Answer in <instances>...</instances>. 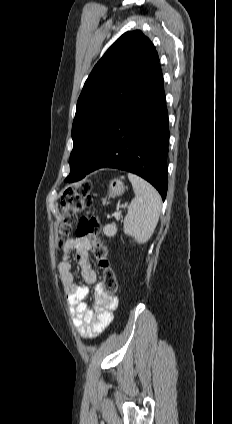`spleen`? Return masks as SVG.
Here are the masks:
<instances>
[{"mask_svg": "<svg viewBox=\"0 0 232 424\" xmlns=\"http://www.w3.org/2000/svg\"><path fill=\"white\" fill-rule=\"evenodd\" d=\"M135 198L132 199L124 219V233L139 244L147 242L158 223L161 197L157 190L141 177L128 173Z\"/></svg>", "mask_w": 232, "mask_h": 424, "instance_id": "obj_1", "label": "spleen"}]
</instances>
